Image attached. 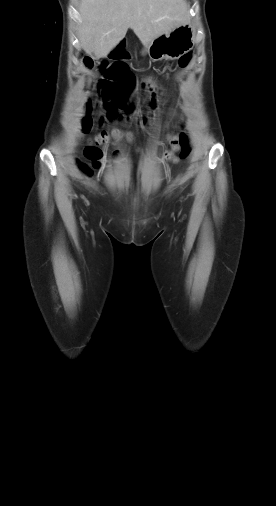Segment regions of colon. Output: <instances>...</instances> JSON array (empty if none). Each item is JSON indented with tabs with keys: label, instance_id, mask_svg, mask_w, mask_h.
I'll return each instance as SVG.
<instances>
[{
	"label": "colon",
	"instance_id": "colon-1",
	"mask_svg": "<svg viewBox=\"0 0 276 506\" xmlns=\"http://www.w3.org/2000/svg\"><path fill=\"white\" fill-rule=\"evenodd\" d=\"M110 53H112L111 50L106 49L104 56L100 59L101 62L105 63L107 60H111L113 65H123L126 60H131L133 58V56L130 58H115ZM78 55L83 59L86 66H89L93 62V57L91 55H87L83 50L80 51ZM190 57L191 55L189 53L183 55L179 60L180 66L186 67L190 61ZM140 77L141 72L138 69L128 70L123 69L121 66L110 67L104 72L105 79L100 82L99 89L102 97L104 98V107L107 111V119L118 118L122 113L132 114L136 118H140L141 109H135L133 103L129 99L130 93L135 85V80H138ZM142 88L144 90H153L152 85L148 82L144 83ZM149 104L151 107L155 106V93L152 94ZM91 125L92 119L89 117L85 118L83 130L88 131L91 128ZM115 137L118 139L125 138L130 140L132 135L130 133L125 134L122 132H116ZM109 140V134L101 132L95 137L94 142L85 149V155L93 160L94 168H98L100 166L99 158L102 153L99 146L107 143ZM170 142L172 150L167 153V158L170 161L177 162L187 158L190 148L184 135H173L170 137ZM81 168L86 173L91 172V168L85 164H82Z\"/></svg>",
	"mask_w": 276,
	"mask_h": 506
}]
</instances>
